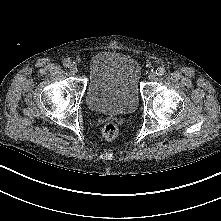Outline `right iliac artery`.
I'll return each mask as SVG.
<instances>
[{
  "instance_id": "1",
  "label": "right iliac artery",
  "mask_w": 221,
  "mask_h": 221,
  "mask_svg": "<svg viewBox=\"0 0 221 221\" xmlns=\"http://www.w3.org/2000/svg\"><path fill=\"white\" fill-rule=\"evenodd\" d=\"M63 65H64V67H66V68H70V67H71V62H70L69 60H65V61L63 62Z\"/></svg>"
}]
</instances>
